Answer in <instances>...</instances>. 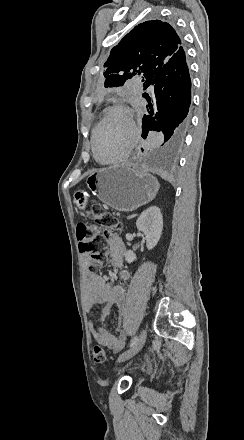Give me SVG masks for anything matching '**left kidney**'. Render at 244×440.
<instances>
[{
	"label": "left kidney",
	"mask_w": 244,
	"mask_h": 440,
	"mask_svg": "<svg viewBox=\"0 0 244 440\" xmlns=\"http://www.w3.org/2000/svg\"><path fill=\"white\" fill-rule=\"evenodd\" d=\"M136 228L139 232H143L146 238V248L152 250L158 244L163 230V216L160 208L150 206L142 212L136 222ZM125 260L128 264L136 260V254L132 250H128L125 254Z\"/></svg>",
	"instance_id": "1"
}]
</instances>
